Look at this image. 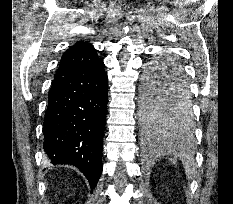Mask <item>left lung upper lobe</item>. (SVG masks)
Wrapping results in <instances>:
<instances>
[{
	"label": "left lung upper lobe",
	"mask_w": 233,
	"mask_h": 204,
	"mask_svg": "<svg viewBox=\"0 0 233 204\" xmlns=\"http://www.w3.org/2000/svg\"><path fill=\"white\" fill-rule=\"evenodd\" d=\"M169 70L185 76L182 66L170 56H163L149 65L143 78V123L188 132L194 121L188 82L186 79V82L179 83L176 90L159 84L158 79Z\"/></svg>",
	"instance_id": "1"
}]
</instances>
